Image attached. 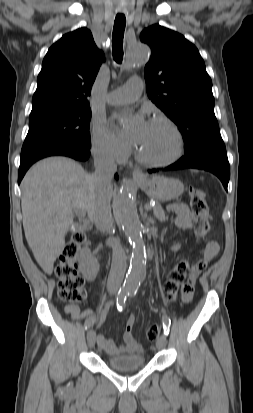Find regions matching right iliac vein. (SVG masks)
<instances>
[{"instance_id": "1", "label": "right iliac vein", "mask_w": 253, "mask_h": 413, "mask_svg": "<svg viewBox=\"0 0 253 413\" xmlns=\"http://www.w3.org/2000/svg\"><path fill=\"white\" fill-rule=\"evenodd\" d=\"M96 341V333L94 330L90 329L87 333V342L90 348L94 347Z\"/></svg>"}]
</instances>
